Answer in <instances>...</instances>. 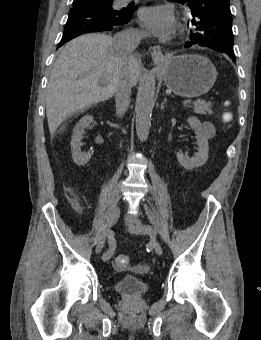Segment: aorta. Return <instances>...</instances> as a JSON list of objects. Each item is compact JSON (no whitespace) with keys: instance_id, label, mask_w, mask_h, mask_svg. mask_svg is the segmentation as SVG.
Listing matches in <instances>:
<instances>
[{"instance_id":"762f6f07","label":"aorta","mask_w":261,"mask_h":340,"mask_svg":"<svg viewBox=\"0 0 261 340\" xmlns=\"http://www.w3.org/2000/svg\"><path fill=\"white\" fill-rule=\"evenodd\" d=\"M155 72L144 82L136 100V132L140 141L148 138L151 127V115L155 103Z\"/></svg>"}]
</instances>
